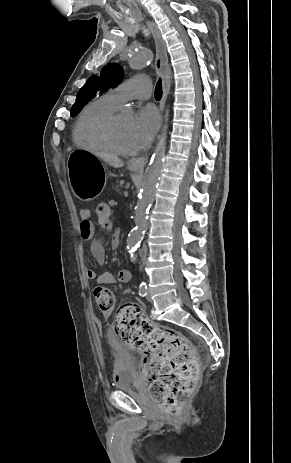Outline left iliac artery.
<instances>
[{"label":"left iliac artery","instance_id":"1","mask_svg":"<svg viewBox=\"0 0 291 463\" xmlns=\"http://www.w3.org/2000/svg\"><path fill=\"white\" fill-rule=\"evenodd\" d=\"M147 294V285L145 282H141L139 286V295L144 297Z\"/></svg>","mask_w":291,"mask_h":463}]
</instances>
